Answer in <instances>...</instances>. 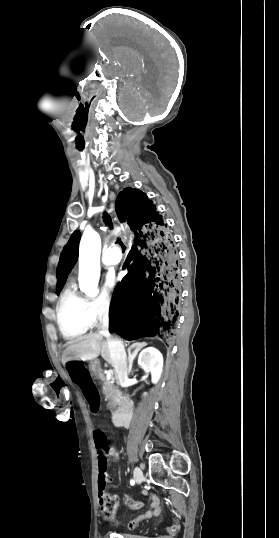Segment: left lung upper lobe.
Segmentation results:
<instances>
[{
    "label": "left lung upper lobe",
    "mask_w": 279,
    "mask_h": 538,
    "mask_svg": "<svg viewBox=\"0 0 279 538\" xmlns=\"http://www.w3.org/2000/svg\"><path fill=\"white\" fill-rule=\"evenodd\" d=\"M80 237V232L75 231L61 253L57 267V294L60 293L68 274L71 272V269L78 259V244Z\"/></svg>",
    "instance_id": "5c2ea615"
}]
</instances>
